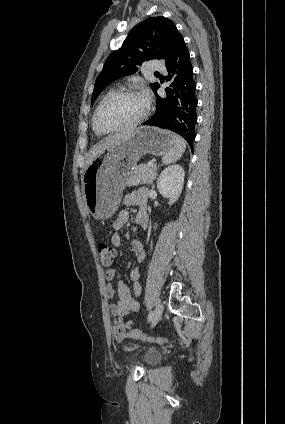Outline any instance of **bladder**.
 Returning <instances> with one entry per match:
<instances>
[{"label":"bladder","instance_id":"31cf9c89","mask_svg":"<svg viewBox=\"0 0 285 424\" xmlns=\"http://www.w3.org/2000/svg\"><path fill=\"white\" fill-rule=\"evenodd\" d=\"M143 357L147 363H156L161 359V354L157 350H146Z\"/></svg>","mask_w":285,"mask_h":424}]
</instances>
